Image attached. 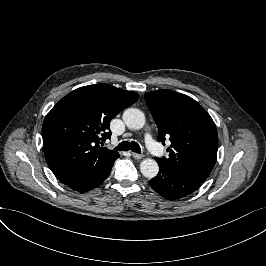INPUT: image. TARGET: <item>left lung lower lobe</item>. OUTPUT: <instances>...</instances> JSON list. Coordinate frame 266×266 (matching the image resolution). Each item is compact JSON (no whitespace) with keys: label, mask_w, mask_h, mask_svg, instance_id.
I'll use <instances>...</instances> for the list:
<instances>
[{"label":"left lung lower lobe","mask_w":266,"mask_h":266,"mask_svg":"<svg viewBox=\"0 0 266 266\" xmlns=\"http://www.w3.org/2000/svg\"><path fill=\"white\" fill-rule=\"evenodd\" d=\"M158 162V161H157ZM159 173L149 181L151 187L166 199H179L198 189L203 181L158 162Z\"/></svg>","instance_id":"left-lung-lower-lobe-1"}]
</instances>
